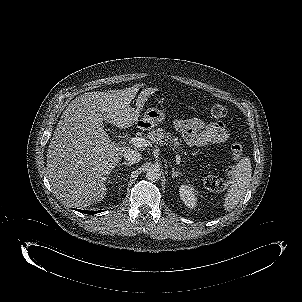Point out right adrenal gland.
<instances>
[{"mask_svg":"<svg viewBox=\"0 0 302 302\" xmlns=\"http://www.w3.org/2000/svg\"><path fill=\"white\" fill-rule=\"evenodd\" d=\"M132 164L130 162H122L119 163V166H131Z\"/></svg>","mask_w":302,"mask_h":302,"instance_id":"1","label":"right adrenal gland"}]
</instances>
